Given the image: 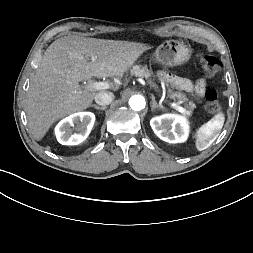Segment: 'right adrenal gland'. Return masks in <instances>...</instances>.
<instances>
[{
	"mask_svg": "<svg viewBox=\"0 0 253 253\" xmlns=\"http://www.w3.org/2000/svg\"><path fill=\"white\" fill-rule=\"evenodd\" d=\"M91 107H94L95 109H98V110H106V106H98V105H95V104H92L90 105Z\"/></svg>",
	"mask_w": 253,
	"mask_h": 253,
	"instance_id": "obj_1",
	"label": "right adrenal gland"
}]
</instances>
